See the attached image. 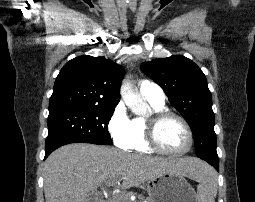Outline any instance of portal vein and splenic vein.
<instances>
[{"label":"portal vein and splenic vein","instance_id":"18ae733b","mask_svg":"<svg viewBox=\"0 0 255 202\" xmlns=\"http://www.w3.org/2000/svg\"><path fill=\"white\" fill-rule=\"evenodd\" d=\"M120 180H121V179H120ZM120 180H118L117 183H119ZM113 183H114L113 181H108V184H109V185H112Z\"/></svg>","mask_w":255,"mask_h":202}]
</instances>
